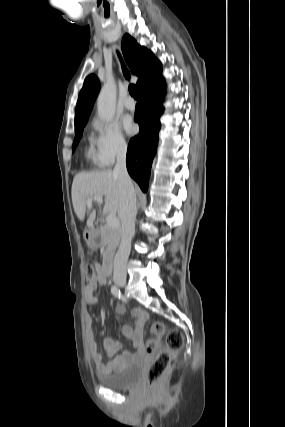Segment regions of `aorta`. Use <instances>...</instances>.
<instances>
[{"mask_svg": "<svg viewBox=\"0 0 285 427\" xmlns=\"http://www.w3.org/2000/svg\"><path fill=\"white\" fill-rule=\"evenodd\" d=\"M116 94L117 88L114 80L107 79L97 99L98 116L101 120L109 122L113 119L116 110Z\"/></svg>", "mask_w": 285, "mask_h": 427, "instance_id": "aorta-1", "label": "aorta"}]
</instances>
